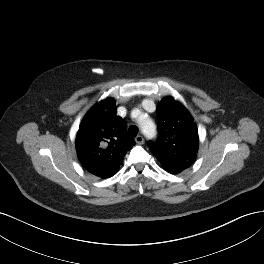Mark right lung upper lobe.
<instances>
[{"instance_id":"right-lung-upper-lobe-1","label":"right lung upper lobe","mask_w":264,"mask_h":264,"mask_svg":"<svg viewBox=\"0 0 264 264\" xmlns=\"http://www.w3.org/2000/svg\"><path fill=\"white\" fill-rule=\"evenodd\" d=\"M134 145L127 135L125 120L116 115L112 98L95 104L88 111L76 136L81 164L88 172L103 179L118 171L124 155Z\"/></svg>"}]
</instances>
